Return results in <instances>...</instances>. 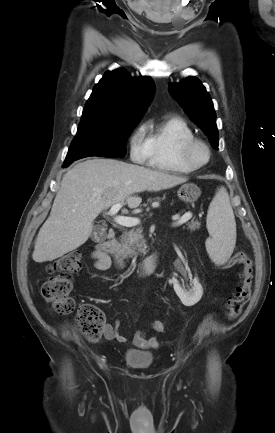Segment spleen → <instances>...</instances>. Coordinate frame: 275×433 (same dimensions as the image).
Returning <instances> with one entry per match:
<instances>
[{"instance_id": "3e777b00", "label": "spleen", "mask_w": 275, "mask_h": 433, "mask_svg": "<svg viewBox=\"0 0 275 433\" xmlns=\"http://www.w3.org/2000/svg\"><path fill=\"white\" fill-rule=\"evenodd\" d=\"M207 230L210 237L206 250L214 263L222 265L232 255L236 243V222L225 188L218 189L209 205Z\"/></svg>"}]
</instances>
